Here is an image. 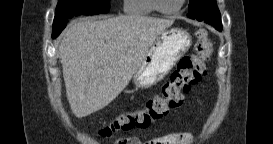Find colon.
Listing matches in <instances>:
<instances>
[{"mask_svg":"<svg viewBox=\"0 0 273 144\" xmlns=\"http://www.w3.org/2000/svg\"><path fill=\"white\" fill-rule=\"evenodd\" d=\"M196 53L182 58L173 71L170 80L161 91L143 106L120 113L100 130L102 136H110L118 131L146 128L151 122L165 116L171 109L179 107L190 88L205 75L212 48L204 31L198 33Z\"/></svg>","mask_w":273,"mask_h":144,"instance_id":"1","label":"colon"}]
</instances>
